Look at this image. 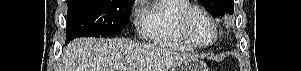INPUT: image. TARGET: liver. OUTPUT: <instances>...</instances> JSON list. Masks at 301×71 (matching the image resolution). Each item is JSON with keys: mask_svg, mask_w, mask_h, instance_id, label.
I'll return each mask as SVG.
<instances>
[{"mask_svg": "<svg viewBox=\"0 0 301 71\" xmlns=\"http://www.w3.org/2000/svg\"><path fill=\"white\" fill-rule=\"evenodd\" d=\"M189 57L126 39L80 38L65 48L62 71H170Z\"/></svg>", "mask_w": 301, "mask_h": 71, "instance_id": "1", "label": "liver"}]
</instances>
